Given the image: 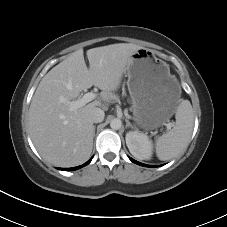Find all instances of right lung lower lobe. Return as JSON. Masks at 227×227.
<instances>
[{
  "label": "right lung lower lobe",
  "mask_w": 227,
  "mask_h": 227,
  "mask_svg": "<svg viewBox=\"0 0 227 227\" xmlns=\"http://www.w3.org/2000/svg\"><path fill=\"white\" fill-rule=\"evenodd\" d=\"M91 160H92V158H91L89 161H87L86 163H84L83 165H80V166H77V167H72V168H60V170H65V171L77 170V169H79V168H81V167L86 166L87 164H89Z\"/></svg>",
  "instance_id": "obj_1"
}]
</instances>
